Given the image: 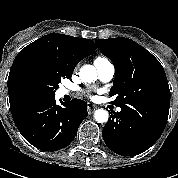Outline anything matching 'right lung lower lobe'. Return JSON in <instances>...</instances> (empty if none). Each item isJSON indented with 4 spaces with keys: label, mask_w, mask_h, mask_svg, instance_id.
Here are the masks:
<instances>
[{
    "label": "right lung lower lobe",
    "mask_w": 178,
    "mask_h": 178,
    "mask_svg": "<svg viewBox=\"0 0 178 178\" xmlns=\"http://www.w3.org/2000/svg\"><path fill=\"white\" fill-rule=\"evenodd\" d=\"M10 109L22 136L44 151H57L68 146L88 116L83 100L75 98L60 106L56 104L55 96L19 97L10 102Z\"/></svg>",
    "instance_id": "98d812e1"
}]
</instances>
